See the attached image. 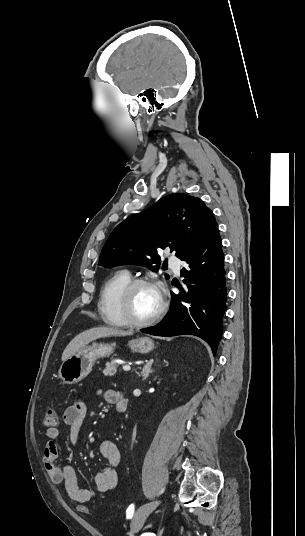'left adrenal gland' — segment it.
Instances as JSON below:
<instances>
[{
	"label": "left adrenal gland",
	"instance_id": "a2214340",
	"mask_svg": "<svg viewBox=\"0 0 305 536\" xmlns=\"http://www.w3.org/2000/svg\"><path fill=\"white\" fill-rule=\"evenodd\" d=\"M153 364V360H151V362H148L147 366H145V368H143L142 372H141V376L143 378V380H146V378H148L149 374H152L153 370H151V366Z\"/></svg>",
	"mask_w": 305,
	"mask_h": 536
}]
</instances>
